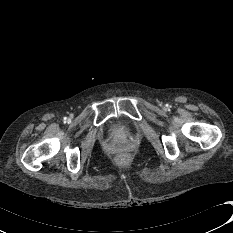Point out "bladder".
I'll return each mask as SVG.
<instances>
[{
	"instance_id": "obj_1",
	"label": "bladder",
	"mask_w": 233,
	"mask_h": 233,
	"mask_svg": "<svg viewBox=\"0 0 233 233\" xmlns=\"http://www.w3.org/2000/svg\"><path fill=\"white\" fill-rule=\"evenodd\" d=\"M113 132L116 135H123L125 134L126 130L124 126H116L115 128H113Z\"/></svg>"
}]
</instances>
